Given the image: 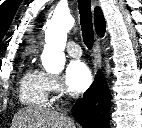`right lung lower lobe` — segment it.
Returning <instances> with one entry per match:
<instances>
[{
  "instance_id": "right-lung-lower-lobe-1",
  "label": "right lung lower lobe",
  "mask_w": 142,
  "mask_h": 128,
  "mask_svg": "<svg viewBox=\"0 0 142 128\" xmlns=\"http://www.w3.org/2000/svg\"><path fill=\"white\" fill-rule=\"evenodd\" d=\"M111 94L101 72L72 108V114L84 128H109Z\"/></svg>"
}]
</instances>
